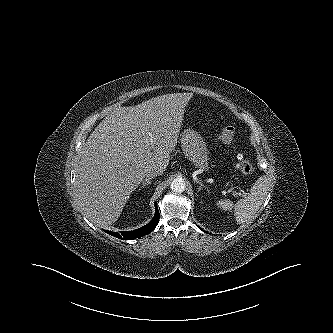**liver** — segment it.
<instances>
[{
	"label": "liver",
	"instance_id": "obj_1",
	"mask_svg": "<svg viewBox=\"0 0 333 333\" xmlns=\"http://www.w3.org/2000/svg\"><path fill=\"white\" fill-rule=\"evenodd\" d=\"M192 93H172L134 107H118L86 141L74 194L98 226L119 218L131 193L152 167L167 168Z\"/></svg>",
	"mask_w": 333,
	"mask_h": 333
}]
</instances>
